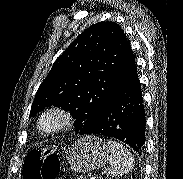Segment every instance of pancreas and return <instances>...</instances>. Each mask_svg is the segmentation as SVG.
Listing matches in <instances>:
<instances>
[{"instance_id": "obj_1", "label": "pancreas", "mask_w": 183, "mask_h": 179, "mask_svg": "<svg viewBox=\"0 0 183 179\" xmlns=\"http://www.w3.org/2000/svg\"><path fill=\"white\" fill-rule=\"evenodd\" d=\"M77 179H87L86 176H79Z\"/></svg>"}]
</instances>
